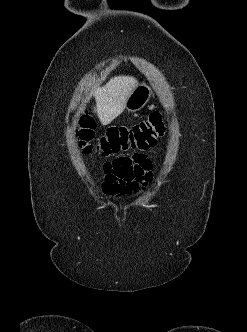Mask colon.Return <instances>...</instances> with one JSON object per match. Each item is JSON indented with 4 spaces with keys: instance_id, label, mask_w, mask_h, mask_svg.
I'll return each instance as SVG.
<instances>
[{
    "instance_id": "colon-1",
    "label": "colon",
    "mask_w": 247,
    "mask_h": 332,
    "mask_svg": "<svg viewBox=\"0 0 247 332\" xmlns=\"http://www.w3.org/2000/svg\"><path fill=\"white\" fill-rule=\"evenodd\" d=\"M95 121L86 112L78 118L76 136L86 153L96 151L103 156H112L127 150H146L155 145L164 133L162 116L153 112L149 117L133 126L110 128L104 136L94 140Z\"/></svg>"
}]
</instances>
